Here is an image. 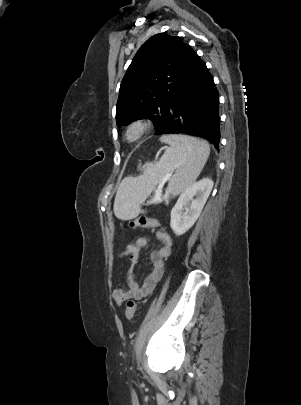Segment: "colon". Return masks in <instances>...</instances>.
<instances>
[{
	"label": "colon",
	"instance_id": "5ec220e1",
	"mask_svg": "<svg viewBox=\"0 0 301 405\" xmlns=\"http://www.w3.org/2000/svg\"><path fill=\"white\" fill-rule=\"evenodd\" d=\"M159 225L157 220L143 216L133 219L128 223V227L130 228H157ZM136 309L137 303L133 299L128 300L125 309V317L127 320H132Z\"/></svg>",
	"mask_w": 301,
	"mask_h": 405
}]
</instances>
